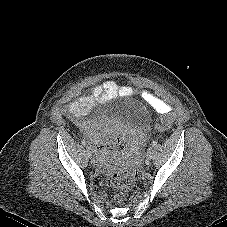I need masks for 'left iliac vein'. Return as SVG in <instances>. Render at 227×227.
<instances>
[{
  "label": "left iliac vein",
  "mask_w": 227,
  "mask_h": 227,
  "mask_svg": "<svg viewBox=\"0 0 227 227\" xmlns=\"http://www.w3.org/2000/svg\"><path fill=\"white\" fill-rule=\"evenodd\" d=\"M153 155H154V151H153V148H149L146 152V158L148 160L152 159L153 158Z\"/></svg>",
  "instance_id": "1"
}]
</instances>
